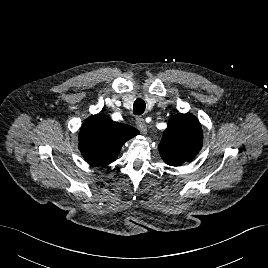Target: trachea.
Here are the masks:
<instances>
[{
	"label": "trachea",
	"mask_w": 268,
	"mask_h": 268,
	"mask_svg": "<svg viewBox=\"0 0 268 268\" xmlns=\"http://www.w3.org/2000/svg\"><path fill=\"white\" fill-rule=\"evenodd\" d=\"M145 108H146V104L144 100L141 98L136 99L133 105L134 115L140 116L141 114L144 113Z\"/></svg>",
	"instance_id": "trachea-1"
}]
</instances>
